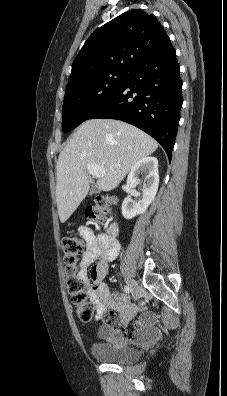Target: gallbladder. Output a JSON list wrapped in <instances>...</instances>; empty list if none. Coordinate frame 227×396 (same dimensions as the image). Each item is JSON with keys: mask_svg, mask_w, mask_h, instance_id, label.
I'll return each instance as SVG.
<instances>
[{"mask_svg": "<svg viewBox=\"0 0 227 396\" xmlns=\"http://www.w3.org/2000/svg\"><path fill=\"white\" fill-rule=\"evenodd\" d=\"M97 188L95 186L92 187L91 192L94 193L96 192Z\"/></svg>", "mask_w": 227, "mask_h": 396, "instance_id": "gallbladder-1", "label": "gallbladder"}]
</instances>
